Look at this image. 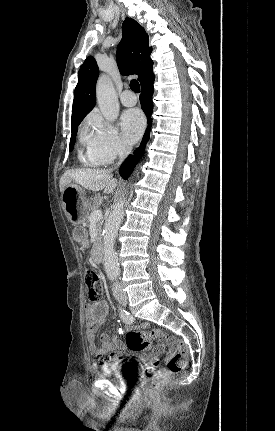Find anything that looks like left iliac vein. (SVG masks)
<instances>
[{
  "label": "left iliac vein",
  "instance_id": "1",
  "mask_svg": "<svg viewBox=\"0 0 275 431\" xmlns=\"http://www.w3.org/2000/svg\"><path fill=\"white\" fill-rule=\"evenodd\" d=\"M122 299H123L122 303L126 304V302H127V296L125 294L122 295Z\"/></svg>",
  "mask_w": 275,
  "mask_h": 431
}]
</instances>
